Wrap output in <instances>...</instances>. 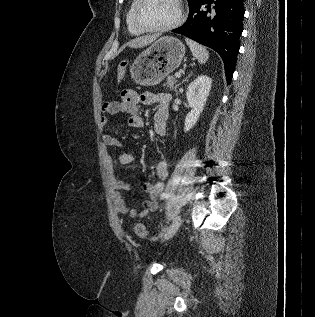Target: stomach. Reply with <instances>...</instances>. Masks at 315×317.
I'll list each match as a JSON object with an SVG mask.
<instances>
[{
  "mask_svg": "<svg viewBox=\"0 0 315 317\" xmlns=\"http://www.w3.org/2000/svg\"><path fill=\"white\" fill-rule=\"evenodd\" d=\"M184 55L185 46L179 39L161 37L134 60L131 78L139 85H157L179 67Z\"/></svg>",
  "mask_w": 315,
  "mask_h": 317,
  "instance_id": "0dacf381",
  "label": "stomach"
}]
</instances>
